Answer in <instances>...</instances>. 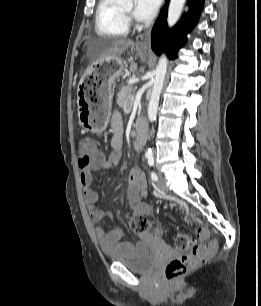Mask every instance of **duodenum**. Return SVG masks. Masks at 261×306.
Wrapping results in <instances>:
<instances>
[{"label":"duodenum","instance_id":"1","mask_svg":"<svg viewBox=\"0 0 261 306\" xmlns=\"http://www.w3.org/2000/svg\"><path fill=\"white\" fill-rule=\"evenodd\" d=\"M135 126L137 131V136L134 140V147L136 149H141L144 144V139L146 136V121L143 117H138L135 120Z\"/></svg>","mask_w":261,"mask_h":306}]
</instances>
